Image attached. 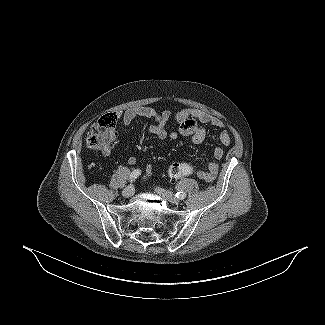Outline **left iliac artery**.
<instances>
[{"label":"left iliac artery","instance_id":"44dca946","mask_svg":"<svg viewBox=\"0 0 325 325\" xmlns=\"http://www.w3.org/2000/svg\"><path fill=\"white\" fill-rule=\"evenodd\" d=\"M176 197L178 199H181L182 200V199H184L186 197V193H184L182 191H179V192L176 193Z\"/></svg>","mask_w":325,"mask_h":325}]
</instances>
